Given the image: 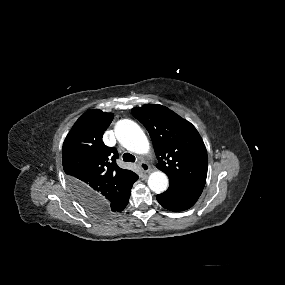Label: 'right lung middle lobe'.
Segmentation results:
<instances>
[{
	"label": "right lung middle lobe",
	"mask_w": 285,
	"mask_h": 285,
	"mask_svg": "<svg viewBox=\"0 0 285 285\" xmlns=\"http://www.w3.org/2000/svg\"><path fill=\"white\" fill-rule=\"evenodd\" d=\"M84 207L86 209H88L91 213H93L94 215L99 216V217H108L111 215L107 209H105V208L100 209L96 205H84Z\"/></svg>",
	"instance_id": "1"
}]
</instances>
